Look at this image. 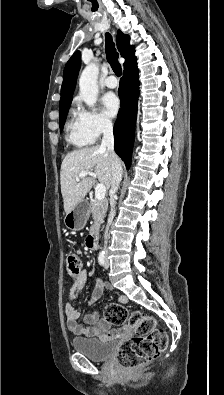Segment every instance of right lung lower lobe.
Listing matches in <instances>:
<instances>
[{"mask_svg": "<svg viewBox=\"0 0 224 395\" xmlns=\"http://www.w3.org/2000/svg\"><path fill=\"white\" fill-rule=\"evenodd\" d=\"M139 80L136 59L124 67L118 95L121 109L114 125L115 152L125 162L127 169L131 164L134 128L137 113Z\"/></svg>", "mask_w": 224, "mask_h": 395, "instance_id": "right-lung-lower-lobe-1", "label": "right lung lower lobe"}]
</instances>
